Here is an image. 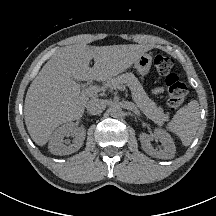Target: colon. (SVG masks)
<instances>
[{"label": "colon", "mask_w": 216, "mask_h": 216, "mask_svg": "<svg viewBox=\"0 0 216 216\" xmlns=\"http://www.w3.org/2000/svg\"><path fill=\"white\" fill-rule=\"evenodd\" d=\"M154 66L157 72L165 77L169 94L168 108L170 111H176L185 101L187 88L184 82L172 73L174 60L166 55H157L154 58Z\"/></svg>", "instance_id": "1"}]
</instances>
